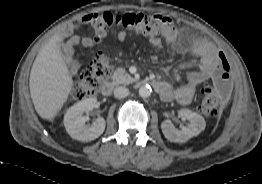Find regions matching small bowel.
I'll list each match as a JSON object with an SVG mask.
<instances>
[{"instance_id":"small-bowel-1","label":"small bowel","mask_w":262,"mask_h":184,"mask_svg":"<svg viewBox=\"0 0 262 184\" xmlns=\"http://www.w3.org/2000/svg\"><path fill=\"white\" fill-rule=\"evenodd\" d=\"M72 31L73 25L69 24L65 27L64 36L68 37L64 47L66 54H72L74 46L78 43L85 48H91L94 46V41L89 37H84L80 41L76 37H70ZM126 36V31H121L118 34V39L124 41ZM178 37V31L172 29L164 35V40L169 44H174L177 42ZM148 42L151 47L157 50H162L164 47L163 40L159 37H150ZM190 49L199 59V70L191 72L188 75L187 82L178 87L171 86L167 81H159V87L156 90L163 101L175 100L181 105H187L192 101L197 87L212 80V73L218 66L215 55L217 49L212 44L204 41H192L190 43ZM77 68L78 66L74 65L72 69L75 72Z\"/></svg>"}]
</instances>
